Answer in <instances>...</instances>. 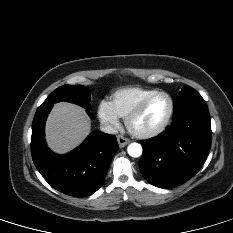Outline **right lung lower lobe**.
I'll list each match as a JSON object with an SVG mask.
<instances>
[{"mask_svg":"<svg viewBox=\"0 0 233 233\" xmlns=\"http://www.w3.org/2000/svg\"><path fill=\"white\" fill-rule=\"evenodd\" d=\"M51 108L40 106L35 113L31 139L33 162L54 189L70 196H89L103 183L110 162L118 150L116 137L94 131L77 149L67 155H56L48 149L44 133Z\"/></svg>","mask_w":233,"mask_h":233,"instance_id":"right-lung-lower-lobe-1","label":"right lung lower lobe"}]
</instances>
